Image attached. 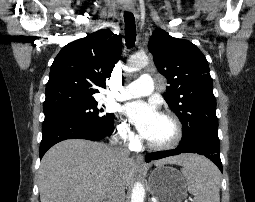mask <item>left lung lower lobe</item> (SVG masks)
Returning <instances> with one entry per match:
<instances>
[{
	"label": "left lung lower lobe",
	"instance_id": "left-lung-lower-lobe-1",
	"mask_svg": "<svg viewBox=\"0 0 255 202\" xmlns=\"http://www.w3.org/2000/svg\"><path fill=\"white\" fill-rule=\"evenodd\" d=\"M180 153H197L204 155L214 162L222 171V163L220 159V142L215 139H204L189 143H180L176 149L158 151L150 153L146 157V161L157 160L168 156L178 155Z\"/></svg>",
	"mask_w": 255,
	"mask_h": 202
}]
</instances>
